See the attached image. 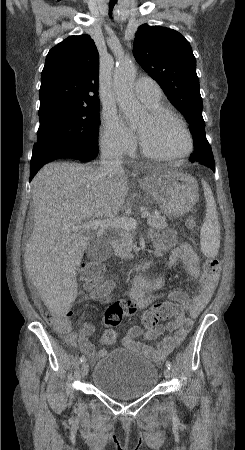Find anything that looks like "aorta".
Returning <instances> with one entry per match:
<instances>
[{"label": "aorta", "mask_w": 245, "mask_h": 450, "mask_svg": "<svg viewBox=\"0 0 245 450\" xmlns=\"http://www.w3.org/2000/svg\"><path fill=\"white\" fill-rule=\"evenodd\" d=\"M136 77V68L132 62H121L114 70V89L117 102L128 121L138 124L146 114L144 107L135 98L132 87Z\"/></svg>", "instance_id": "762f6f07"}]
</instances>
